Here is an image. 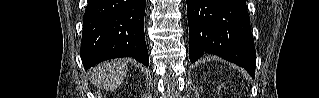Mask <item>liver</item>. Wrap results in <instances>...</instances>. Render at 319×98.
<instances>
[{"instance_id": "liver-1", "label": "liver", "mask_w": 319, "mask_h": 98, "mask_svg": "<svg viewBox=\"0 0 319 98\" xmlns=\"http://www.w3.org/2000/svg\"><path fill=\"white\" fill-rule=\"evenodd\" d=\"M125 61H107L96 66L92 73V80L99 88L111 91L119 87L127 74Z\"/></svg>"}]
</instances>
